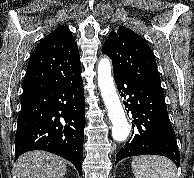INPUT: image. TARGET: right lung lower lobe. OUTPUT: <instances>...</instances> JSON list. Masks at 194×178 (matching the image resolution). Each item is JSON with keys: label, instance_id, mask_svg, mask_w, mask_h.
Returning <instances> with one entry per match:
<instances>
[{"label": "right lung lower lobe", "instance_id": "98d812e1", "mask_svg": "<svg viewBox=\"0 0 194 178\" xmlns=\"http://www.w3.org/2000/svg\"><path fill=\"white\" fill-rule=\"evenodd\" d=\"M85 106L82 78L22 95L15 159L31 150L63 157L82 171Z\"/></svg>", "mask_w": 194, "mask_h": 178}]
</instances>
